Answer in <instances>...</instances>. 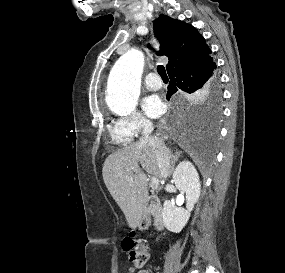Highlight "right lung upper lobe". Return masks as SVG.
Instances as JSON below:
<instances>
[{"label":"right lung upper lobe","instance_id":"cb5924a9","mask_svg":"<svg viewBox=\"0 0 285 273\" xmlns=\"http://www.w3.org/2000/svg\"><path fill=\"white\" fill-rule=\"evenodd\" d=\"M161 46L159 56H167L169 73L174 68L211 53L203 36L190 24L160 15L154 22Z\"/></svg>","mask_w":285,"mask_h":273}]
</instances>
